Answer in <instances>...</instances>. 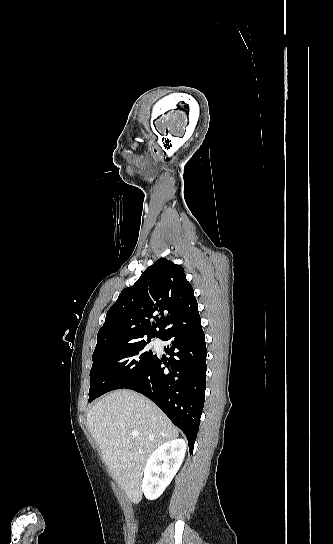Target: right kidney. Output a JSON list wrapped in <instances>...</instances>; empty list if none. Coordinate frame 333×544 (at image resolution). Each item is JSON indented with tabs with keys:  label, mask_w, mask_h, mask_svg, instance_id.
I'll return each mask as SVG.
<instances>
[{
	"label": "right kidney",
	"mask_w": 333,
	"mask_h": 544,
	"mask_svg": "<svg viewBox=\"0 0 333 544\" xmlns=\"http://www.w3.org/2000/svg\"><path fill=\"white\" fill-rule=\"evenodd\" d=\"M186 443L175 439L156 449L147 460L142 490L148 500H155L163 493L179 470L185 456Z\"/></svg>",
	"instance_id": "1"
}]
</instances>
